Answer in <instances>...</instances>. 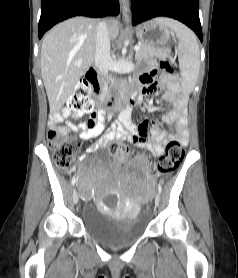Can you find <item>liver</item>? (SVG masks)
I'll return each instance as SVG.
<instances>
[{
    "instance_id": "1",
    "label": "liver",
    "mask_w": 238,
    "mask_h": 278,
    "mask_svg": "<svg viewBox=\"0 0 238 278\" xmlns=\"http://www.w3.org/2000/svg\"><path fill=\"white\" fill-rule=\"evenodd\" d=\"M99 21L74 17L53 27L41 48V76L50 112H58L95 59ZM110 39L117 38L118 21L107 22Z\"/></svg>"
}]
</instances>
